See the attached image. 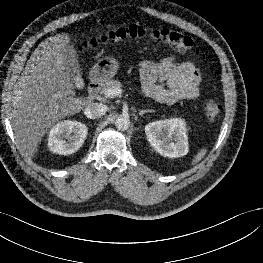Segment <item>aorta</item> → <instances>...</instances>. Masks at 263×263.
<instances>
[{"mask_svg": "<svg viewBox=\"0 0 263 263\" xmlns=\"http://www.w3.org/2000/svg\"><path fill=\"white\" fill-rule=\"evenodd\" d=\"M115 124L118 130L125 131L130 127V119L127 116H120Z\"/></svg>", "mask_w": 263, "mask_h": 263, "instance_id": "obj_1", "label": "aorta"}]
</instances>
